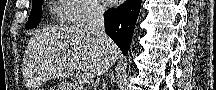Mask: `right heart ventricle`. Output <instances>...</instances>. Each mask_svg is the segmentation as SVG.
<instances>
[{
  "instance_id": "right-heart-ventricle-1",
  "label": "right heart ventricle",
  "mask_w": 216,
  "mask_h": 90,
  "mask_svg": "<svg viewBox=\"0 0 216 90\" xmlns=\"http://www.w3.org/2000/svg\"><path fill=\"white\" fill-rule=\"evenodd\" d=\"M52 9L55 19H69L71 13H75V9L72 7H59V4H56ZM52 24H69V20H52Z\"/></svg>"
}]
</instances>
